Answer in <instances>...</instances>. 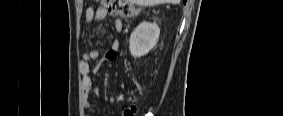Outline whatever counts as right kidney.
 I'll return each instance as SVG.
<instances>
[{"label":"right kidney","mask_w":283,"mask_h":116,"mask_svg":"<svg viewBox=\"0 0 283 116\" xmlns=\"http://www.w3.org/2000/svg\"><path fill=\"white\" fill-rule=\"evenodd\" d=\"M159 35L160 28L155 22L140 23L130 36L129 49L131 55L134 58L146 55L156 46Z\"/></svg>","instance_id":"ca27d5eb"}]
</instances>
